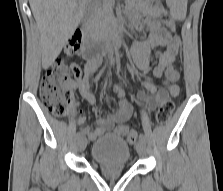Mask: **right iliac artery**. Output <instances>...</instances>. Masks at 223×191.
I'll return each instance as SVG.
<instances>
[{"label": "right iliac artery", "mask_w": 223, "mask_h": 191, "mask_svg": "<svg viewBox=\"0 0 223 191\" xmlns=\"http://www.w3.org/2000/svg\"><path fill=\"white\" fill-rule=\"evenodd\" d=\"M78 138L82 136V132L77 133Z\"/></svg>", "instance_id": "obj_1"}]
</instances>
